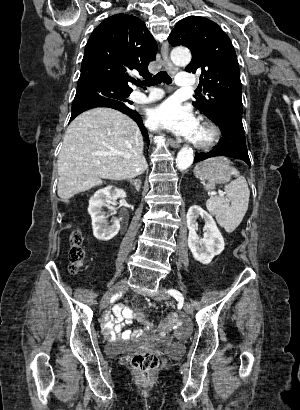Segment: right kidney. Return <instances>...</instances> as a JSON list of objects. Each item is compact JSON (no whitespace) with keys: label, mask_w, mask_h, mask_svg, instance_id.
Returning <instances> with one entry per match:
<instances>
[{"label":"right kidney","mask_w":300,"mask_h":410,"mask_svg":"<svg viewBox=\"0 0 300 410\" xmlns=\"http://www.w3.org/2000/svg\"><path fill=\"white\" fill-rule=\"evenodd\" d=\"M124 190L107 186L99 189L89 200L88 213L92 219V228L94 236L103 241H109L115 237L120 230L119 220L114 219L111 224L106 220L103 207H109L112 201L126 198Z\"/></svg>","instance_id":"obj_1"}]
</instances>
